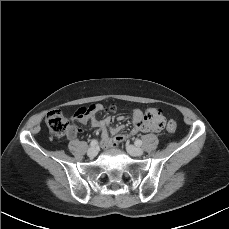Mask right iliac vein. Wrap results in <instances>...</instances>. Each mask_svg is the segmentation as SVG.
<instances>
[{"label":"right iliac vein","instance_id":"1","mask_svg":"<svg viewBox=\"0 0 229 229\" xmlns=\"http://www.w3.org/2000/svg\"><path fill=\"white\" fill-rule=\"evenodd\" d=\"M87 154L90 158H94L98 154L97 148L95 147L89 148Z\"/></svg>","mask_w":229,"mask_h":229}]
</instances>
